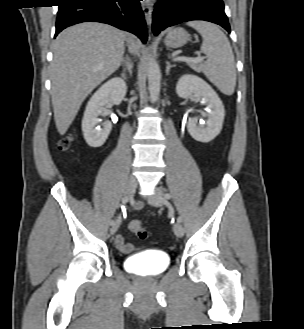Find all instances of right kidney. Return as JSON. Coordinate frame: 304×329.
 Instances as JSON below:
<instances>
[{"instance_id":"obj_1","label":"right kidney","mask_w":304,"mask_h":329,"mask_svg":"<svg viewBox=\"0 0 304 329\" xmlns=\"http://www.w3.org/2000/svg\"><path fill=\"white\" fill-rule=\"evenodd\" d=\"M126 84L120 78H112L104 83L90 98L82 119L84 139L91 147L102 146L111 131V123L106 121L98 125V116L108 113L109 104L119 105L126 94Z\"/></svg>"}]
</instances>
